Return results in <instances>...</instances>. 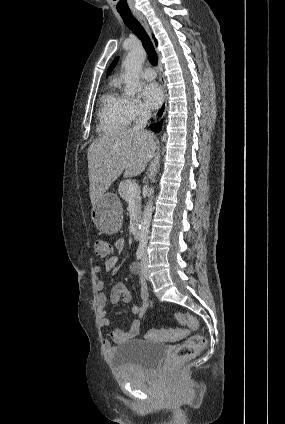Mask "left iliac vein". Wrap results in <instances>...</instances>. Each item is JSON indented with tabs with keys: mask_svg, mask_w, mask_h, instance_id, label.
Masks as SVG:
<instances>
[{
	"mask_svg": "<svg viewBox=\"0 0 285 424\" xmlns=\"http://www.w3.org/2000/svg\"><path fill=\"white\" fill-rule=\"evenodd\" d=\"M147 265H148V254L147 252H145L144 257L141 261V274L146 280H149L148 273H147Z\"/></svg>",
	"mask_w": 285,
	"mask_h": 424,
	"instance_id": "4c4485c4",
	"label": "left iliac vein"
}]
</instances>
